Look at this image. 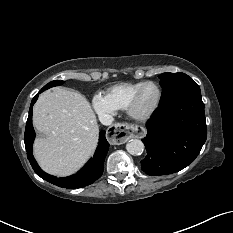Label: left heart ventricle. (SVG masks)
Here are the masks:
<instances>
[{
	"instance_id": "left-heart-ventricle-1",
	"label": "left heart ventricle",
	"mask_w": 233,
	"mask_h": 233,
	"mask_svg": "<svg viewBox=\"0 0 233 233\" xmlns=\"http://www.w3.org/2000/svg\"><path fill=\"white\" fill-rule=\"evenodd\" d=\"M157 96L158 92L155 86H146L141 93L138 110L144 112L150 109L155 104Z\"/></svg>"
}]
</instances>
